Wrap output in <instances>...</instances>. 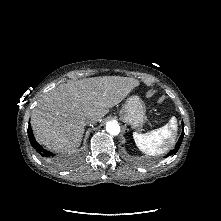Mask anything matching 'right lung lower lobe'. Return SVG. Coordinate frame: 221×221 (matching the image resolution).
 I'll use <instances>...</instances> for the list:
<instances>
[{
  "mask_svg": "<svg viewBox=\"0 0 221 221\" xmlns=\"http://www.w3.org/2000/svg\"><path fill=\"white\" fill-rule=\"evenodd\" d=\"M27 132H28V137H29L30 143H31L32 147L37 150V152H39L42 156H46V157L53 156L52 153H50L49 151L44 150V149L36 142L30 124L28 125V130H27Z\"/></svg>",
  "mask_w": 221,
  "mask_h": 221,
  "instance_id": "1",
  "label": "right lung lower lobe"
}]
</instances>
